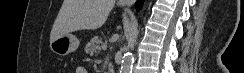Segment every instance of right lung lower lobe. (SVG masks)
Here are the masks:
<instances>
[{
    "label": "right lung lower lobe",
    "mask_w": 244,
    "mask_h": 73,
    "mask_svg": "<svg viewBox=\"0 0 244 73\" xmlns=\"http://www.w3.org/2000/svg\"><path fill=\"white\" fill-rule=\"evenodd\" d=\"M143 1H144V0H137V2H136V8H137V10L140 9V7H141L142 4H143Z\"/></svg>",
    "instance_id": "obj_1"
}]
</instances>
